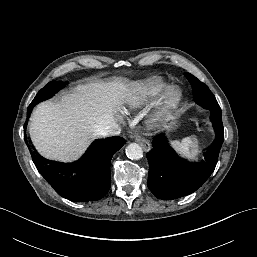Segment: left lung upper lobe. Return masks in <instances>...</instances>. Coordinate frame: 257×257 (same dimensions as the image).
Listing matches in <instances>:
<instances>
[{
	"label": "left lung upper lobe",
	"instance_id": "5c2ea615",
	"mask_svg": "<svg viewBox=\"0 0 257 257\" xmlns=\"http://www.w3.org/2000/svg\"><path fill=\"white\" fill-rule=\"evenodd\" d=\"M185 77L190 81L194 91V101L202 107L211 111H220L221 108L213 95L207 88V85L200 82L195 76L190 73H185Z\"/></svg>",
	"mask_w": 257,
	"mask_h": 257
}]
</instances>
